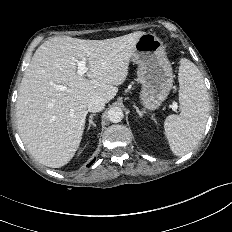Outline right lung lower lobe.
Wrapping results in <instances>:
<instances>
[{
	"mask_svg": "<svg viewBox=\"0 0 232 232\" xmlns=\"http://www.w3.org/2000/svg\"><path fill=\"white\" fill-rule=\"evenodd\" d=\"M94 161H95V159H94L91 163H89V164L87 165V167H89Z\"/></svg>",
	"mask_w": 232,
	"mask_h": 232,
	"instance_id": "right-lung-lower-lobe-1",
	"label": "right lung lower lobe"
}]
</instances>
